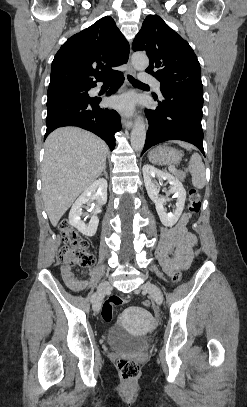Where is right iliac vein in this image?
<instances>
[{
	"mask_svg": "<svg viewBox=\"0 0 247 407\" xmlns=\"http://www.w3.org/2000/svg\"><path fill=\"white\" fill-rule=\"evenodd\" d=\"M111 288H112L111 284L107 281L101 282L99 284V286L97 288L98 295L93 304V309L95 312H99L101 305H102L103 298H104L105 294L111 290Z\"/></svg>",
	"mask_w": 247,
	"mask_h": 407,
	"instance_id": "obj_1",
	"label": "right iliac vein"
}]
</instances>
